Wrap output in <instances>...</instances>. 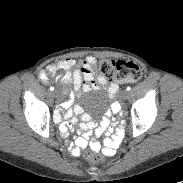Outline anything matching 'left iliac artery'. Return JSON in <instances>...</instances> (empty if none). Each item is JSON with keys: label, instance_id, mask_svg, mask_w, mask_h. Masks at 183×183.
<instances>
[{"label": "left iliac artery", "instance_id": "left-iliac-artery-1", "mask_svg": "<svg viewBox=\"0 0 183 183\" xmlns=\"http://www.w3.org/2000/svg\"><path fill=\"white\" fill-rule=\"evenodd\" d=\"M130 90H131V87H130V86H128V87H127V91H130Z\"/></svg>", "mask_w": 183, "mask_h": 183}]
</instances>
